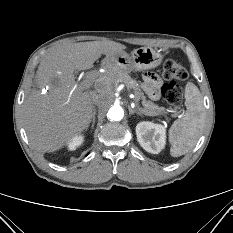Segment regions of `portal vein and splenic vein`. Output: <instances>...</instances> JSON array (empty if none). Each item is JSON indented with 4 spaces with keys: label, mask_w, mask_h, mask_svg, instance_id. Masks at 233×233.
<instances>
[{
    "label": "portal vein and splenic vein",
    "mask_w": 233,
    "mask_h": 233,
    "mask_svg": "<svg viewBox=\"0 0 233 233\" xmlns=\"http://www.w3.org/2000/svg\"><path fill=\"white\" fill-rule=\"evenodd\" d=\"M92 84H93V79L91 77H87L80 83L78 89L81 91L89 89L92 86Z\"/></svg>",
    "instance_id": "18ae733b"
}]
</instances>
